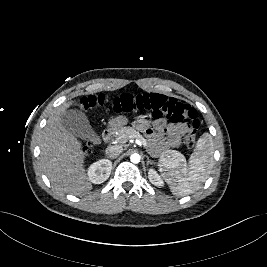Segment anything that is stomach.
Wrapping results in <instances>:
<instances>
[{
	"label": "stomach",
	"mask_w": 267,
	"mask_h": 267,
	"mask_svg": "<svg viewBox=\"0 0 267 267\" xmlns=\"http://www.w3.org/2000/svg\"><path fill=\"white\" fill-rule=\"evenodd\" d=\"M128 122H129V119L126 116L119 115V116L112 118L109 121V126L113 129L118 130L122 128L124 125H126Z\"/></svg>",
	"instance_id": "stomach-1"
}]
</instances>
